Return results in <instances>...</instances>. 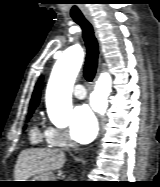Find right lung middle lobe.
Listing matches in <instances>:
<instances>
[{
    "instance_id": "obj_1",
    "label": "right lung middle lobe",
    "mask_w": 160,
    "mask_h": 187,
    "mask_svg": "<svg viewBox=\"0 0 160 187\" xmlns=\"http://www.w3.org/2000/svg\"><path fill=\"white\" fill-rule=\"evenodd\" d=\"M34 112V109H31V110H29V115H28V118H30L31 117V115H32V113Z\"/></svg>"
}]
</instances>
